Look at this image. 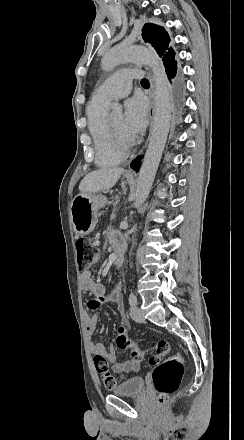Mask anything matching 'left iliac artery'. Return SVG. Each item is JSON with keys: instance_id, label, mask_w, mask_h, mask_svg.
Wrapping results in <instances>:
<instances>
[{"instance_id": "1", "label": "left iliac artery", "mask_w": 244, "mask_h": 440, "mask_svg": "<svg viewBox=\"0 0 244 440\" xmlns=\"http://www.w3.org/2000/svg\"><path fill=\"white\" fill-rule=\"evenodd\" d=\"M128 300L130 305L132 306L137 305V298L133 293H130Z\"/></svg>"}]
</instances>
